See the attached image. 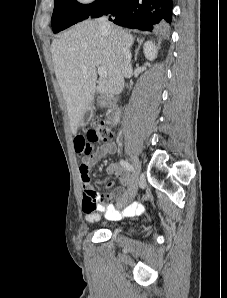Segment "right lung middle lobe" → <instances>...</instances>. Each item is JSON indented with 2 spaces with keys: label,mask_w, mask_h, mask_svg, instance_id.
Segmentation results:
<instances>
[{
  "label": "right lung middle lobe",
  "mask_w": 227,
  "mask_h": 298,
  "mask_svg": "<svg viewBox=\"0 0 227 298\" xmlns=\"http://www.w3.org/2000/svg\"><path fill=\"white\" fill-rule=\"evenodd\" d=\"M106 0H96L91 4H80L76 0H55L51 19L53 32L57 33L69 26L86 19L97 10Z\"/></svg>",
  "instance_id": "dd1d6c3e"
}]
</instances>
